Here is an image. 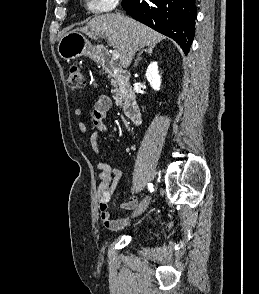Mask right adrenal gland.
Here are the masks:
<instances>
[{
	"mask_svg": "<svg viewBox=\"0 0 259 294\" xmlns=\"http://www.w3.org/2000/svg\"><path fill=\"white\" fill-rule=\"evenodd\" d=\"M154 47L155 46H149L146 49H143L142 51H140L139 54H138L137 59L135 60V64L134 65L137 66L138 62L141 60V55L144 52L148 53L149 55H152Z\"/></svg>",
	"mask_w": 259,
	"mask_h": 294,
	"instance_id": "1",
	"label": "right adrenal gland"
}]
</instances>
